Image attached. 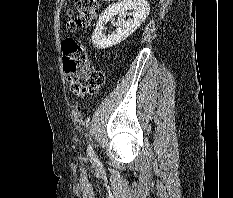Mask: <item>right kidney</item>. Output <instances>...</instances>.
I'll use <instances>...</instances> for the list:
<instances>
[{"instance_id": "obj_1", "label": "right kidney", "mask_w": 233, "mask_h": 198, "mask_svg": "<svg viewBox=\"0 0 233 198\" xmlns=\"http://www.w3.org/2000/svg\"><path fill=\"white\" fill-rule=\"evenodd\" d=\"M127 10H133L132 19L125 21ZM150 11L146 0H122L107 7L99 17L92 35V43L97 49H107L125 40L146 19ZM115 15L121 18L116 23L117 29L111 35L102 34L104 25Z\"/></svg>"}]
</instances>
